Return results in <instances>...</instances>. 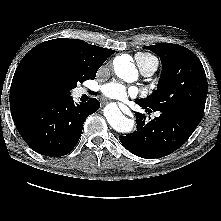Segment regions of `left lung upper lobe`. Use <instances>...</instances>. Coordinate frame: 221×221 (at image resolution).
<instances>
[{"label":"left lung upper lobe","mask_w":221,"mask_h":221,"mask_svg":"<svg viewBox=\"0 0 221 221\" xmlns=\"http://www.w3.org/2000/svg\"><path fill=\"white\" fill-rule=\"evenodd\" d=\"M144 48L160 57L162 74L158 89L140 102L154 111L181 110L202 116L208 84L199 58L177 44L163 43Z\"/></svg>","instance_id":"1"}]
</instances>
